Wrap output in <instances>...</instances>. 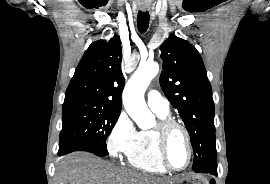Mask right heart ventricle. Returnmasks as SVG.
Instances as JSON below:
<instances>
[{"mask_svg": "<svg viewBox=\"0 0 270 184\" xmlns=\"http://www.w3.org/2000/svg\"><path fill=\"white\" fill-rule=\"evenodd\" d=\"M160 118H166L167 113H158ZM128 164L136 169L163 174L167 169L161 164L157 151L156 137L153 130L138 132L135 144L127 155Z\"/></svg>", "mask_w": 270, "mask_h": 184, "instance_id": "obj_1", "label": "right heart ventricle"}]
</instances>
